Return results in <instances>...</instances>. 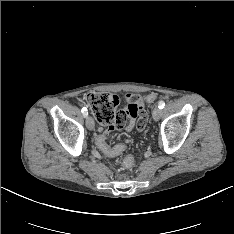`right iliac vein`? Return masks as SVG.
I'll use <instances>...</instances> for the list:
<instances>
[{
	"mask_svg": "<svg viewBox=\"0 0 234 234\" xmlns=\"http://www.w3.org/2000/svg\"><path fill=\"white\" fill-rule=\"evenodd\" d=\"M86 126L89 130H93L95 127L94 120L91 116L86 117Z\"/></svg>",
	"mask_w": 234,
	"mask_h": 234,
	"instance_id": "63e3f726",
	"label": "right iliac vein"
}]
</instances>
